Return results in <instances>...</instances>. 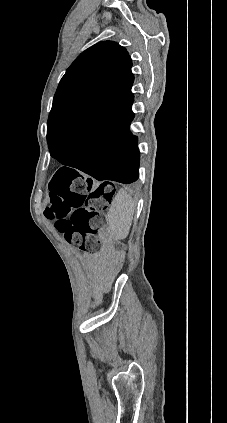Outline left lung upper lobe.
Instances as JSON below:
<instances>
[{
  "instance_id": "obj_1",
  "label": "left lung upper lobe",
  "mask_w": 227,
  "mask_h": 423,
  "mask_svg": "<svg viewBox=\"0 0 227 423\" xmlns=\"http://www.w3.org/2000/svg\"><path fill=\"white\" fill-rule=\"evenodd\" d=\"M126 49L103 41L81 53L62 77L47 123L48 145L110 113L131 112L134 75Z\"/></svg>"
}]
</instances>
